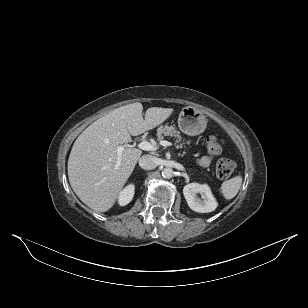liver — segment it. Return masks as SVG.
I'll return each instance as SVG.
<instances>
[{
	"label": "liver",
	"instance_id": "liver-1",
	"mask_svg": "<svg viewBox=\"0 0 308 308\" xmlns=\"http://www.w3.org/2000/svg\"><path fill=\"white\" fill-rule=\"evenodd\" d=\"M142 111L139 102L119 107L94 121L73 144L67 166L69 182L78 198L95 211L105 212L115 204L142 155L140 149L127 144L130 136L157 127L174 109L151 107L144 118ZM118 146H124L120 158Z\"/></svg>",
	"mask_w": 308,
	"mask_h": 308
}]
</instances>
